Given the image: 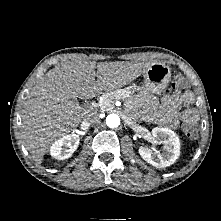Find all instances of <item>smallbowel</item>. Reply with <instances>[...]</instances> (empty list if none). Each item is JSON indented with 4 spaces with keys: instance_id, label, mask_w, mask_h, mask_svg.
<instances>
[{
    "instance_id": "c3829d8e",
    "label": "small bowel",
    "mask_w": 221,
    "mask_h": 221,
    "mask_svg": "<svg viewBox=\"0 0 221 221\" xmlns=\"http://www.w3.org/2000/svg\"><path fill=\"white\" fill-rule=\"evenodd\" d=\"M192 92L186 91L183 94L174 93L164 99L163 110L159 116V123L168 127H176L180 120L187 118L197 119V112L193 108L180 110L182 106H190L193 103Z\"/></svg>"
}]
</instances>
